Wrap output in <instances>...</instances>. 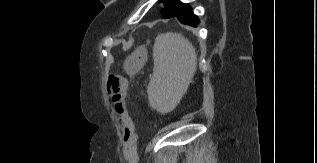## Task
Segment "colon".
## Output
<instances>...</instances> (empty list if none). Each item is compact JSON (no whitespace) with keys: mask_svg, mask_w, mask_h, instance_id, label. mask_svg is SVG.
Segmentation results:
<instances>
[{"mask_svg":"<svg viewBox=\"0 0 317 163\" xmlns=\"http://www.w3.org/2000/svg\"><path fill=\"white\" fill-rule=\"evenodd\" d=\"M107 89L112 101L116 105H122L126 91L125 82L117 76H111L108 80Z\"/></svg>","mask_w":317,"mask_h":163,"instance_id":"1","label":"colon"}]
</instances>
